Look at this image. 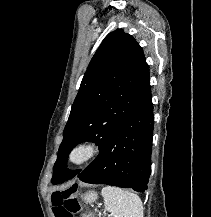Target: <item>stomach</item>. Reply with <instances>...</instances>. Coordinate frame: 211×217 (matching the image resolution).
Returning a JSON list of instances; mask_svg holds the SVG:
<instances>
[{"label":"stomach","mask_w":211,"mask_h":217,"mask_svg":"<svg viewBox=\"0 0 211 217\" xmlns=\"http://www.w3.org/2000/svg\"><path fill=\"white\" fill-rule=\"evenodd\" d=\"M97 197L98 196H97L96 192L89 191L88 193L84 194L82 198H83L84 202H86V203H92V202H94L97 199Z\"/></svg>","instance_id":"obj_1"}]
</instances>
